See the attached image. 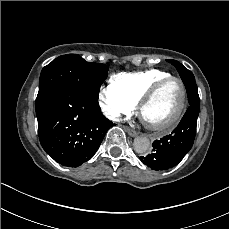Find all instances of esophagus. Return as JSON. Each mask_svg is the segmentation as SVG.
Segmentation results:
<instances>
[{"mask_svg":"<svg viewBox=\"0 0 229 229\" xmlns=\"http://www.w3.org/2000/svg\"><path fill=\"white\" fill-rule=\"evenodd\" d=\"M123 128L128 133V135L131 137H136L138 135V132H136L135 130L131 129L128 126H124Z\"/></svg>","mask_w":229,"mask_h":229,"instance_id":"34e87169","label":"esophagus"}]
</instances>
